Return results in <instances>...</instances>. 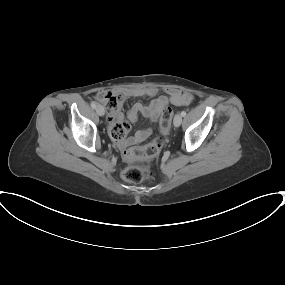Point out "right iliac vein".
<instances>
[{
	"mask_svg": "<svg viewBox=\"0 0 285 285\" xmlns=\"http://www.w3.org/2000/svg\"><path fill=\"white\" fill-rule=\"evenodd\" d=\"M96 112L99 116H103L105 114V110L102 106H97Z\"/></svg>",
	"mask_w": 285,
	"mask_h": 285,
	"instance_id": "63e3f726",
	"label": "right iliac vein"
}]
</instances>
